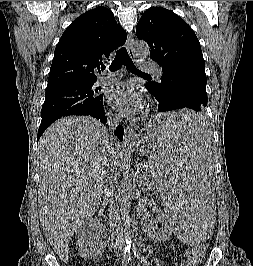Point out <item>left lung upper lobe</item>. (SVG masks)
<instances>
[{
	"mask_svg": "<svg viewBox=\"0 0 253 266\" xmlns=\"http://www.w3.org/2000/svg\"><path fill=\"white\" fill-rule=\"evenodd\" d=\"M136 35L150 46V59L162 67L161 83L148 82L160 98L170 76L190 73L203 81L205 61L198 38L178 15L164 8L152 7L141 16Z\"/></svg>",
	"mask_w": 253,
	"mask_h": 266,
	"instance_id": "1",
	"label": "left lung upper lobe"
}]
</instances>
